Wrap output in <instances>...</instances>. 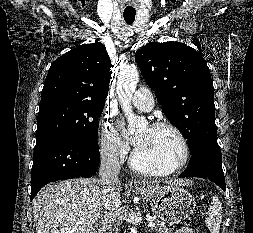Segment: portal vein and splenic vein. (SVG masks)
<instances>
[{
  "mask_svg": "<svg viewBox=\"0 0 253 233\" xmlns=\"http://www.w3.org/2000/svg\"><path fill=\"white\" fill-rule=\"evenodd\" d=\"M148 227H151V228L155 227V223L152 220H149Z\"/></svg>",
  "mask_w": 253,
  "mask_h": 233,
  "instance_id": "1",
  "label": "portal vein and splenic vein"
}]
</instances>
